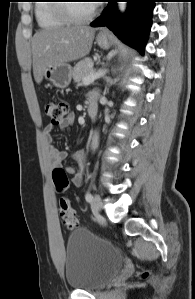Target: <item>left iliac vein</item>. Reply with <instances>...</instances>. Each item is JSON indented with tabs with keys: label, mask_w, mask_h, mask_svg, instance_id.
Listing matches in <instances>:
<instances>
[{
	"label": "left iliac vein",
	"mask_w": 195,
	"mask_h": 299,
	"mask_svg": "<svg viewBox=\"0 0 195 299\" xmlns=\"http://www.w3.org/2000/svg\"><path fill=\"white\" fill-rule=\"evenodd\" d=\"M102 208V201L98 195H95L91 201V209L94 214H98Z\"/></svg>",
	"instance_id": "left-iliac-vein-1"
}]
</instances>
